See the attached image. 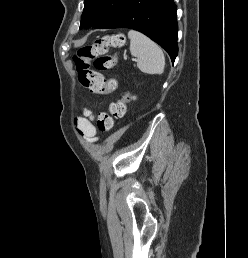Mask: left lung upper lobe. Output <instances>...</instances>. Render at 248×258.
Returning <instances> with one entry per match:
<instances>
[{"label":"left lung upper lobe","mask_w":248,"mask_h":258,"mask_svg":"<svg viewBox=\"0 0 248 258\" xmlns=\"http://www.w3.org/2000/svg\"><path fill=\"white\" fill-rule=\"evenodd\" d=\"M128 0H85L80 28L98 27L112 19Z\"/></svg>","instance_id":"obj_1"}]
</instances>
